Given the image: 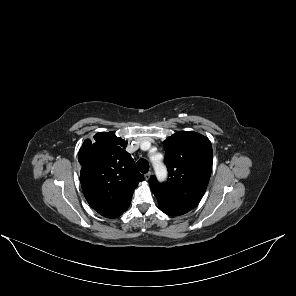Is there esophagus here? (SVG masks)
Returning a JSON list of instances; mask_svg holds the SVG:
<instances>
[{"instance_id":"1","label":"esophagus","mask_w":296,"mask_h":296,"mask_svg":"<svg viewBox=\"0 0 296 296\" xmlns=\"http://www.w3.org/2000/svg\"><path fill=\"white\" fill-rule=\"evenodd\" d=\"M144 177H145L146 180H149L150 177H151V172L146 173V174L144 175Z\"/></svg>"}]
</instances>
